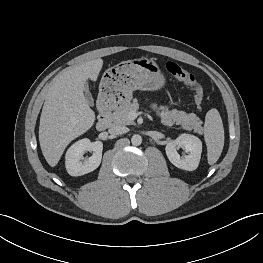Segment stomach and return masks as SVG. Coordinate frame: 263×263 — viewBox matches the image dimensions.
Returning a JSON list of instances; mask_svg holds the SVG:
<instances>
[{
  "label": "stomach",
  "mask_w": 263,
  "mask_h": 263,
  "mask_svg": "<svg viewBox=\"0 0 263 263\" xmlns=\"http://www.w3.org/2000/svg\"><path fill=\"white\" fill-rule=\"evenodd\" d=\"M165 85V77L158 64L149 58L121 62L104 73L99 95L114 105H126L135 90L154 91Z\"/></svg>",
  "instance_id": "1"
}]
</instances>
